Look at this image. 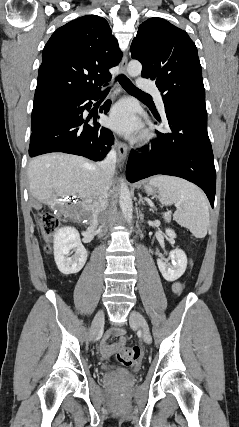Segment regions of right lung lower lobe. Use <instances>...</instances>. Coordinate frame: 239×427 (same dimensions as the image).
Instances as JSON below:
<instances>
[{
  "label": "right lung lower lobe",
  "mask_w": 239,
  "mask_h": 427,
  "mask_svg": "<svg viewBox=\"0 0 239 427\" xmlns=\"http://www.w3.org/2000/svg\"><path fill=\"white\" fill-rule=\"evenodd\" d=\"M100 96L94 93H73L61 96L57 105L43 114L32 128L29 155L34 157L49 152H64L81 155L94 161L102 160L114 142L112 132L99 123L88 122L83 111L91 108L92 102ZM110 107L101 108L106 113Z\"/></svg>",
  "instance_id": "right-lung-lower-lobe-1"
}]
</instances>
